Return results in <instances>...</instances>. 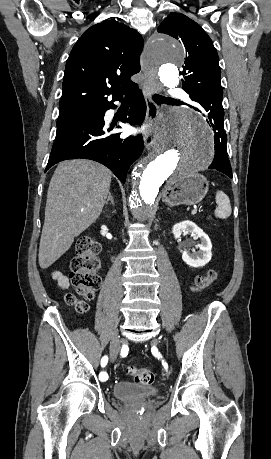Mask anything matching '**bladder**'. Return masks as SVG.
Returning a JSON list of instances; mask_svg holds the SVG:
<instances>
[{
    "mask_svg": "<svg viewBox=\"0 0 271 459\" xmlns=\"http://www.w3.org/2000/svg\"><path fill=\"white\" fill-rule=\"evenodd\" d=\"M158 393L159 387L130 381L117 382L113 388L114 396L124 401L137 398H151L157 396Z\"/></svg>",
    "mask_w": 271,
    "mask_h": 459,
    "instance_id": "obj_1",
    "label": "bladder"
}]
</instances>
